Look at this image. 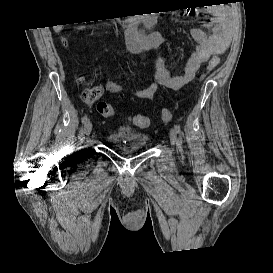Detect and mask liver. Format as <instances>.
<instances>
[{
  "instance_id": "liver-1",
  "label": "liver",
  "mask_w": 273,
  "mask_h": 273,
  "mask_svg": "<svg viewBox=\"0 0 273 273\" xmlns=\"http://www.w3.org/2000/svg\"><path fill=\"white\" fill-rule=\"evenodd\" d=\"M61 29H62V26H61V25H58V26H55V27H54V30H55L56 32H59Z\"/></svg>"
}]
</instances>
